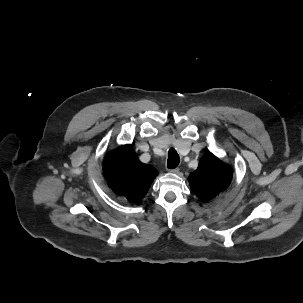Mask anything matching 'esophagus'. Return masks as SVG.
<instances>
[{"label":"esophagus","mask_w":303,"mask_h":303,"mask_svg":"<svg viewBox=\"0 0 303 303\" xmlns=\"http://www.w3.org/2000/svg\"><path fill=\"white\" fill-rule=\"evenodd\" d=\"M179 171H180L179 168L170 169V172L172 173H179Z\"/></svg>","instance_id":"34e87169"}]
</instances>
